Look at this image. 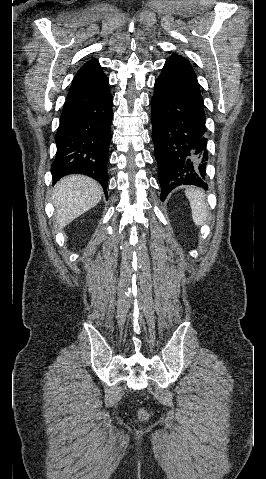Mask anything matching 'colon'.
Segmentation results:
<instances>
[{"instance_id":"5ec220e1","label":"colon","mask_w":266,"mask_h":479,"mask_svg":"<svg viewBox=\"0 0 266 479\" xmlns=\"http://www.w3.org/2000/svg\"><path fill=\"white\" fill-rule=\"evenodd\" d=\"M137 413L141 420H146L148 418V413L144 409H138Z\"/></svg>"}]
</instances>
